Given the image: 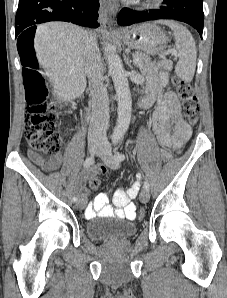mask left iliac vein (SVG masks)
<instances>
[{
    "label": "left iliac vein",
    "instance_id": "obj_1",
    "mask_svg": "<svg viewBox=\"0 0 227 298\" xmlns=\"http://www.w3.org/2000/svg\"><path fill=\"white\" fill-rule=\"evenodd\" d=\"M98 156L103 160V162L110 168L116 169L119 166L118 161H116L112 155L111 148L107 143H104L99 151L97 152ZM150 199L149 191L143 189L140 193V200L142 203H147Z\"/></svg>",
    "mask_w": 227,
    "mask_h": 298
}]
</instances>
